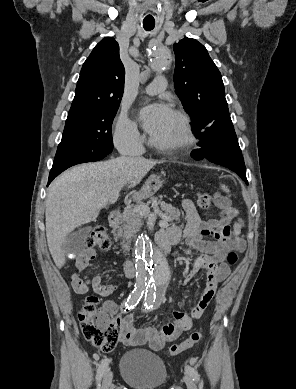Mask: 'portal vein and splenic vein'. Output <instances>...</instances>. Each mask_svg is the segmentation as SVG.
<instances>
[{
  "label": "portal vein and splenic vein",
  "mask_w": 296,
  "mask_h": 389,
  "mask_svg": "<svg viewBox=\"0 0 296 389\" xmlns=\"http://www.w3.org/2000/svg\"><path fill=\"white\" fill-rule=\"evenodd\" d=\"M118 197H119V194L116 193V194L109 200L110 204H114V203L117 201ZM136 210H137L141 215H143V216H146V215H148V214L150 213V208H149L148 206H146V205L136 206ZM160 225H161L162 227H167V226H168V221H167V219H166V218H163V220L160 221Z\"/></svg>",
  "instance_id": "18ae733b"
}]
</instances>
